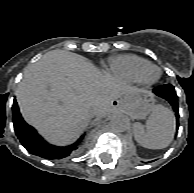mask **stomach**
<instances>
[{
    "instance_id": "1",
    "label": "stomach",
    "mask_w": 194,
    "mask_h": 193,
    "mask_svg": "<svg viewBox=\"0 0 194 193\" xmlns=\"http://www.w3.org/2000/svg\"><path fill=\"white\" fill-rule=\"evenodd\" d=\"M118 108L133 119H144L154 106V97L149 91L141 90L131 98H122L114 102Z\"/></svg>"
}]
</instances>
